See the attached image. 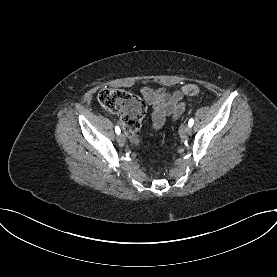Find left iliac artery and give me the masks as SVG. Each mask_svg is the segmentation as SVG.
I'll return each mask as SVG.
<instances>
[{"mask_svg": "<svg viewBox=\"0 0 277 277\" xmlns=\"http://www.w3.org/2000/svg\"><path fill=\"white\" fill-rule=\"evenodd\" d=\"M193 124H194V120L190 119L189 122H188V125L191 127Z\"/></svg>", "mask_w": 277, "mask_h": 277, "instance_id": "1", "label": "left iliac artery"}]
</instances>
